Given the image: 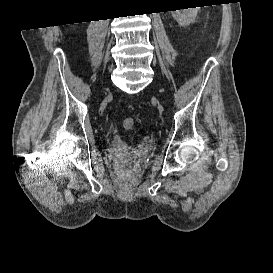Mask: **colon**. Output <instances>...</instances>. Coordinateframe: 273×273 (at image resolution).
Returning <instances> with one entry per match:
<instances>
[{
    "label": "colon",
    "instance_id": "1",
    "mask_svg": "<svg viewBox=\"0 0 273 273\" xmlns=\"http://www.w3.org/2000/svg\"><path fill=\"white\" fill-rule=\"evenodd\" d=\"M123 127L126 130H131L135 125V120L132 117H127L123 120Z\"/></svg>",
    "mask_w": 273,
    "mask_h": 273
}]
</instances>
